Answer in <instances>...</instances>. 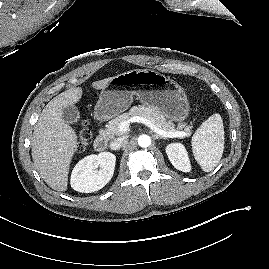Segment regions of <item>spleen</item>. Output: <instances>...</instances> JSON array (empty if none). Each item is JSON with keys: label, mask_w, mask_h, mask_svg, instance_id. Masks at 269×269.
<instances>
[{"label": "spleen", "mask_w": 269, "mask_h": 269, "mask_svg": "<svg viewBox=\"0 0 269 269\" xmlns=\"http://www.w3.org/2000/svg\"><path fill=\"white\" fill-rule=\"evenodd\" d=\"M224 126L220 114L211 115L192 137V152L204 172L212 171L224 150Z\"/></svg>", "instance_id": "spleen-1"}]
</instances>
